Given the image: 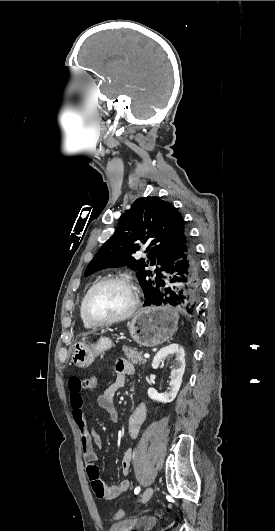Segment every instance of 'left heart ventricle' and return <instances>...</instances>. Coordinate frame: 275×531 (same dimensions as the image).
I'll return each instance as SVG.
<instances>
[{
	"label": "left heart ventricle",
	"instance_id": "left-heart-ventricle-1",
	"mask_svg": "<svg viewBox=\"0 0 275 531\" xmlns=\"http://www.w3.org/2000/svg\"><path fill=\"white\" fill-rule=\"evenodd\" d=\"M132 302L130 289L121 283H108L97 289L89 298L87 314L94 320H107L128 311Z\"/></svg>",
	"mask_w": 275,
	"mask_h": 531
}]
</instances>
